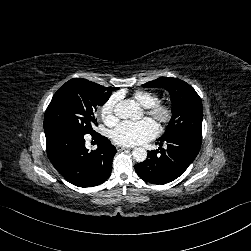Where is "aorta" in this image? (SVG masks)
Returning <instances> with one entry per match:
<instances>
[{"label": "aorta", "instance_id": "obj_1", "mask_svg": "<svg viewBox=\"0 0 251 251\" xmlns=\"http://www.w3.org/2000/svg\"><path fill=\"white\" fill-rule=\"evenodd\" d=\"M114 113L118 118H139V107L130 99L120 101L115 105ZM132 156L137 162H143L147 158V151L143 147H135L132 151Z\"/></svg>", "mask_w": 251, "mask_h": 251}]
</instances>
